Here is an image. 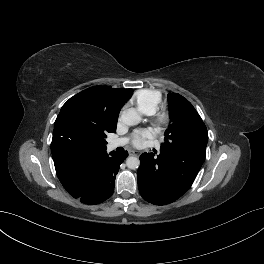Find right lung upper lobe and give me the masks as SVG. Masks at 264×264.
<instances>
[{"instance_id": "cb5924a9", "label": "right lung upper lobe", "mask_w": 264, "mask_h": 264, "mask_svg": "<svg viewBox=\"0 0 264 264\" xmlns=\"http://www.w3.org/2000/svg\"><path fill=\"white\" fill-rule=\"evenodd\" d=\"M132 92V89L94 86L80 93L90 98L95 118L100 120L106 127L116 130L119 112ZM104 150L106 149L73 148L65 143L56 131H53L51 152L56 173L60 180L67 179L83 160Z\"/></svg>"}]
</instances>
